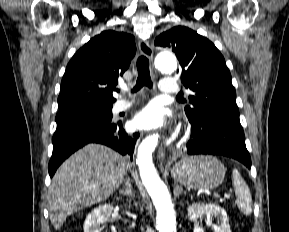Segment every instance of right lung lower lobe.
Listing matches in <instances>:
<instances>
[{"label":"right lung lower lobe","mask_w":289,"mask_h":232,"mask_svg":"<svg viewBox=\"0 0 289 232\" xmlns=\"http://www.w3.org/2000/svg\"><path fill=\"white\" fill-rule=\"evenodd\" d=\"M138 137V133H126L120 121L117 123L94 121L60 123L52 138L53 153L48 167L50 177L66 158L88 143L104 144L122 155L132 157Z\"/></svg>","instance_id":"98d812e1"}]
</instances>
